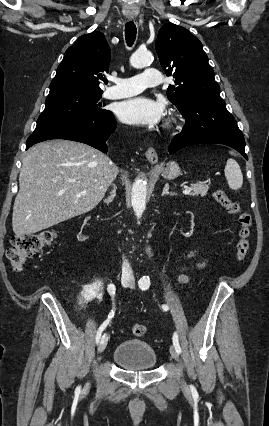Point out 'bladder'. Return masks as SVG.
Returning a JSON list of instances; mask_svg holds the SVG:
<instances>
[{
	"instance_id": "bladder-1",
	"label": "bladder",
	"mask_w": 269,
	"mask_h": 426,
	"mask_svg": "<svg viewBox=\"0 0 269 426\" xmlns=\"http://www.w3.org/2000/svg\"><path fill=\"white\" fill-rule=\"evenodd\" d=\"M113 362L124 371H151L157 365V355L143 340L128 339L119 342L112 353Z\"/></svg>"
}]
</instances>
